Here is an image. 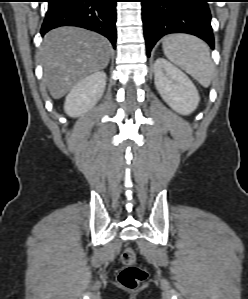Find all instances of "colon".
I'll return each instance as SVG.
<instances>
[{
	"mask_svg": "<svg viewBox=\"0 0 248 299\" xmlns=\"http://www.w3.org/2000/svg\"><path fill=\"white\" fill-rule=\"evenodd\" d=\"M123 268L118 275L119 284L127 289H136L146 279V270L137 263L136 253L131 247L121 253Z\"/></svg>",
	"mask_w": 248,
	"mask_h": 299,
	"instance_id": "colon-1",
	"label": "colon"
}]
</instances>
